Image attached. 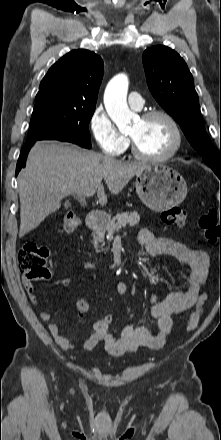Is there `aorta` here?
<instances>
[{"label": "aorta", "instance_id": "obj_1", "mask_svg": "<svg viewBox=\"0 0 221 440\" xmlns=\"http://www.w3.org/2000/svg\"><path fill=\"white\" fill-rule=\"evenodd\" d=\"M128 84L127 76L118 74L109 81L104 93L106 111L119 129H124L133 118L126 100Z\"/></svg>", "mask_w": 221, "mask_h": 440}]
</instances>
